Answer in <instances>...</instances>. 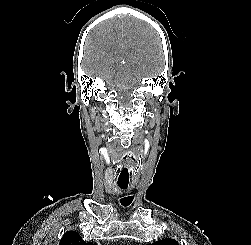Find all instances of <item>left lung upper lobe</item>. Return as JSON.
<instances>
[{
  "label": "left lung upper lobe",
  "instance_id": "left-lung-upper-lobe-1",
  "mask_svg": "<svg viewBox=\"0 0 251 245\" xmlns=\"http://www.w3.org/2000/svg\"><path fill=\"white\" fill-rule=\"evenodd\" d=\"M148 245H179V244L174 239L169 238V239H162L154 242L153 244H148Z\"/></svg>",
  "mask_w": 251,
  "mask_h": 245
}]
</instances>
